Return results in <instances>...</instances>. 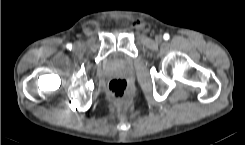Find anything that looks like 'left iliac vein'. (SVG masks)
Wrapping results in <instances>:
<instances>
[{"label": "left iliac vein", "instance_id": "obj_1", "mask_svg": "<svg viewBox=\"0 0 245 145\" xmlns=\"http://www.w3.org/2000/svg\"><path fill=\"white\" fill-rule=\"evenodd\" d=\"M162 39H163L162 35H157V36H156V41H157V42H161Z\"/></svg>", "mask_w": 245, "mask_h": 145}]
</instances>
